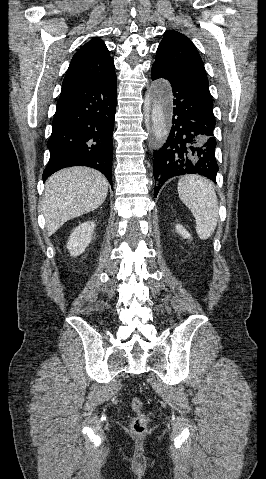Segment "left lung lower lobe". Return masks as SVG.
I'll list each match as a JSON object with an SVG mask.
<instances>
[{
	"label": "left lung lower lobe",
	"instance_id": "1",
	"mask_svg": "<svg viewBox=\"0 0 266 479\" xmlns=\"http://www.w3.org/2000/svg\"><path fill=\"white\" fill-rule=\"evenodd\" d=\"M164 78L172 86L173 126L163 147L154 152V195L174 176L199 174L216 183L215 118L212 98L152 66V79Z\"/></svg>",
	"mask_w": 266,
	"mask_h": 479
}]
</instances>
